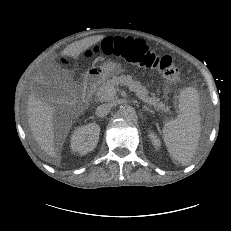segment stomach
<instances>
[{"instance_id": "1", "label": "stomach", "mask_w": 231, "mask_h": 231, "mask_svg": "<svg viewBox=\"0 0 231 231\" xmlns=\"http://www.w3.org/2000/svg\"><path fill=\"white\" fill-rule=\"evenodd\" d=\"M120 65L114 61H107L100 66L93 65L87 72L86 78L96 81H103L108 77L121 73Z\"/></svg>"}]
</instances>
